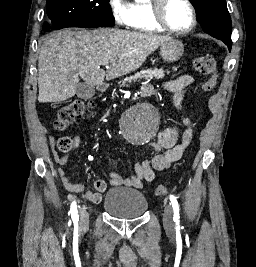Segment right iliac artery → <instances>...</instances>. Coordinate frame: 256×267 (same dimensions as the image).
I'll return each mask as SVG.
<instances>
[{"label":"right iliac artery","mask_w":256,"mask_h":267,"mask_svg":"<svg viewBox=\"0 0 256 267\" xmlns=\"http://www.w3.org/2000/svg\"><path fill=\"white\" fill-rule=\"evenodd\" d=\"M70 213H71L73 222H78L79 216H78V211H77V204L75 201H73L71 204Z\"/></svg>","instance_id":"82829eb1"}]
</instances>
